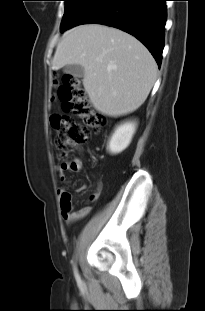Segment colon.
<instances>
[{"instance_id": "1", "label": "colon", "mask_w": 205, "mask_h": 311, "mask_svg": "<svg viewBox=\"0 0 205 311\" xmlns=\"http://www.w3.org/2000/svg\"><path fill=\"white\" fill-rule=\"evenodd\" d=\"M55 88L52 99L58 101L64 112L79 118L55 114L51 123L58 133L57 145L62 151L74 149L86 142L92 131L105 126V119L96 113L86 99V92L78 78L64 75L60 80L53 79Z\"/></svg>"}]
</instances>
